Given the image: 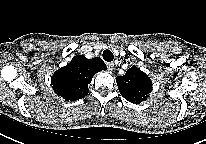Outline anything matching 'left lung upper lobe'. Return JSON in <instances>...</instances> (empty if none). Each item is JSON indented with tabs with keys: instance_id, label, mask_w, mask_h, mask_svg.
Instances as JSON below:
<instances>
[{
	"instance_id": "left-lung-upper-lobe-1",
	"label": "left lung upper lobe",
	"mask_w": 206,
	"mask_h": 144,
	"mask_svg": "<svg viewBox=\"0 0 206 144\" xmlns=\"http://www.w3.org/2000/svg\"><path fill=\"white\" fill-rule=\"evenodd\" d=\"M116 81L122 96L131 103L145 101L152 91L150 78L136 66H132L124 76H118Z\"/></svg>"
}]
</instances>
